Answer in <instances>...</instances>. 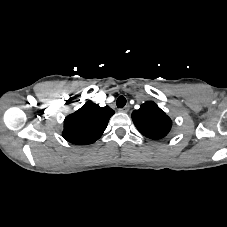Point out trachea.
<instances>
[{"mask_svg": "<svg viewBox=\"0 0 227 227\" xmlns=\"http://www.w3.org/2000/svg\"><path fill=\"white\" fill-rule=\"evenodd\" d=\"M116 104L118 108H123L126 105V98L124 96H119Z\"/></svg>", "mask_w": 227, "mask_h": 227, "instance_id": "1", "label": "trachea"}]
</instances>
